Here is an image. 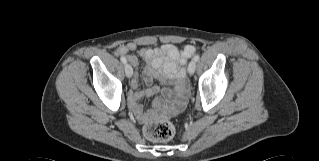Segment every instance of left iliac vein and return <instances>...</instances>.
<instances>
[{
	"mask_svg": "<svg viewBox=\"0 0 319 161\" xmlns=\"http://www.w3.org/2000/svg\"><path fill=\"white\" fill-rule=\"evenodd\" d=\"M195 70H196V62H195V61H191V62L189 63V65H188V73H189L190 75H193L194 72H195Z\"/></svg>",
	"mask_w": 319,
	"mask_h": 161,
	"instance_id": "1",
	"label": "left iliac vein"
}]
</instances>
